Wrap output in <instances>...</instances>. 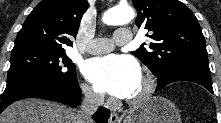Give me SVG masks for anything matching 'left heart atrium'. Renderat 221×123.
<instances>
[{"label": "left heart atrium", "mask_w": 221, "mask_h": 123, "mask_svg": "<svg viewBox=\"0 0 221 123\" xmlns=\"http://www.w3.org/2000/svg\"><path fill=\"white\" fill-rule=\"evenodd\" d=\"M83 73L97 91L118 98H127L141 77L133 58L115 54L88 60Z\"/></svg>", "instance_id": "39dd6f15"}]
</instances>
